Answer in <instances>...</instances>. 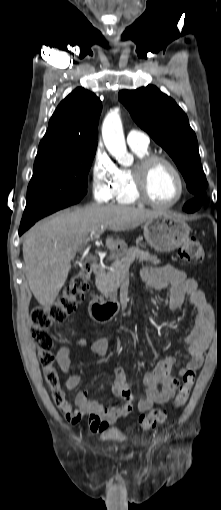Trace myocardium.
I'll return each mask as SVG.
<instances>
[{
    "label": "myocardium",
    "mask_w": 221,
    "mask_h": 510,
    "mask_svg": "<svg viewBox=\"0 0 221 510\" xmlns=\"http://www.w3.org/2000/svg\"><path fill=\"white\" fill-rule=\"evenodd\" d=\"M164 163L170 167V169L174 172L177 177L179 183V193L177 197L166 203L156 202L154 201L148 192L147 182L152 168L158 164ZM133 175V187L134 193L138 201L150 205L156 208H169L176 204H178L185 196L186 193V182L182 175V172L178 168V166L169 158L158 155V154H148L138 160L136 165L132 170Z\"/></svg>",
    "instance_id": "f54148a6"
}]
</instances>
